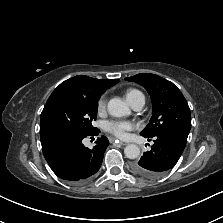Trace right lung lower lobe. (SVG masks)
<instances>
[{
  "instance_id": "98d812e1",
  "label": "right lung lower lobe",
  "mask_w": 223,
  "mask_h": 223,
  "mask_svg": "<svg viewBox=\"0 0 223 223\" xmlns=\"http://www.w3.org/2000/svg\"><path fill=\"white\" fill-rule=\"evenodd\" d=\"M99 132L98 129L91 133L56 131L41 135L43 154L53 172L68 182L88 181L99 170L109 141L102 136L89 149L82 144V140Z\"/></svg>"
}]
</instances>
